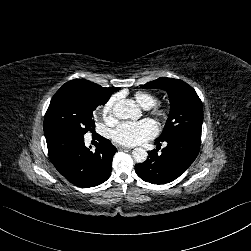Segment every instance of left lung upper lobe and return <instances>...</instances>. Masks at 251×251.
Listing matches in <instances>:
<instances>
[{
	"instance_id": "obj_1",
	"label": "left lung upper lobe",
	"mask_w": 251,
	"mask_h": 251,
	"mask_svg": "<svg viewBox=\"0 0 251 251\" xmlns=\"http://www.w3.org/2000/svg\"><path fill=\"white\" fill-rule=\"evenodd\" d=\"M141 87L163 89L170 98V115L162 135L156 139L157 142L176 135H190L201 139L203 107L191 86L182 80L161 77Z\"/></svg>"
}]
</instances>
